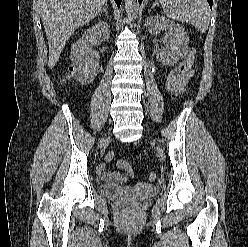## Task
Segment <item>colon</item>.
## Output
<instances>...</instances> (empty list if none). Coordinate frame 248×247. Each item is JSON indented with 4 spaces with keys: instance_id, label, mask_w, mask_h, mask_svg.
<instances>
[{
    "instance_id": "colon-1",
    "label": "colon",
    "mask_w": 248,
    "mask_h": 247,
    "mask_svg": "<svg viewBox=\"0 0 248 247\" xmlns=\"http://www.w3.org/2000/svg\"><path fill=\"white\" fill-rule=\"evenodd\" d=\"M195 56L196 52L194 49H192L187 55V57L169 73L164 84L165 91L168 94L175 95L178 93L184 76L188 73L192 64L194 63ZM72 75L73 69L69 68L67 72V78L70 79ZM113 159L114 153L110 152L106 155L107 161H112ZM116 164L118 168L124 171L127 176H132V169L124 159H118ZM156 177L157 175L155 173H151L149 175V179L151 181L155 180Z\"/></svg>"
}]
</instances>
